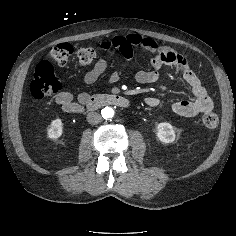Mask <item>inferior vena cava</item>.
I'll list each match as a JSON object with an SVG mask.
<instances>
[{"label":"inferior vena cava","mask_w":236,"mask_h":236,"mask_svg":"<svg viewBox=\"0 0 236 236\" xmlns=\"http://www.w3.org/2000/svg\"><path fill=\"white\" fill-rule=\"evenodd\" d=\"M101 119V115L97 112H90L87 115V121L92 125L98 124L101 122Z\"/></svg>","instance_id":"1"}]
</instances>
